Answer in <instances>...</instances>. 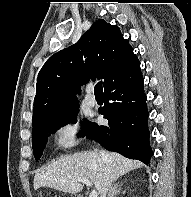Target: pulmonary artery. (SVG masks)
<instances>
[{
	"mask_svg": "<svg viewBox=\"0 0 191 197\" xmlns=\"http://www.w3.org/2000/svg\"><path fill=\"white\" fill-rule=\"evenodd\" d=\"M93 91V86H88L87 87V94L85 96V101L89 106H95L96 105V98L92 94Z\"/></svg>",
	"mask_w": 191,
	"mask_h": 197,
	"instance_id": "e3ab8cb5",
	"label": "pulmonary artery"
}]
</instances>
